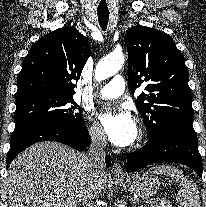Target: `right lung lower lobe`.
Segmentation results:
<instances>
[{"mask_svg":"<svg viewBox=\"0 0 206 207\" xmlns=\"http://www.w3.org/2000/svg\"><path fill=\"white\" fill-rule=\"evenodd\" d=\"M40 141H58L74 149H84L91 143L86 126L82 130H73L61 126H42L28 130L10 140V149L7 153V168L13 159L24 149ZM111 158L106 156V165L110 166Z\"/></svg>","mask_w":206,"mask_h":207,"instance_id":"98d812e1","label":"right lung lower lobe"}]
</instances>
